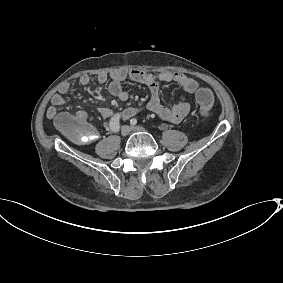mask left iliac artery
<instances>
[{
	"mask_svg": "<svg viewBox=\"0 0 283 283\" xmlns=\"http://www.w3.org/2000/svg\"><path fill=\"white\" fill-rule=\"evenodd\" d=\"M131 125H136L137 124V119L133 118L130 120Z\"/></svg>",
	"mask_w": 283,
	"mask_h": 283,
	"instance_id": "44dca946",
	"label": "left iliac artery"
}]
</instances>
